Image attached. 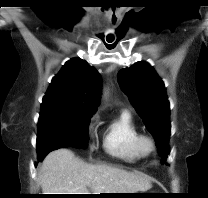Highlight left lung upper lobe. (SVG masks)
Segmentation results:
<instances>
[{
    "label": "left lung upper lobe",
    "instance_id": "1",
    "mask_svg": "<svg viewBox=\"0 0 208 198\" xmlns=\"http://www.w3.org/2000/svg\"><path fill=\"white\" fill-rule=\"evenodd\" d=\"M118 80L124 93L153 135L162 163L169 155L170 105L164 83L147 62L121 69Z\"/></svg>",
    "mask_w": 208,
    "mask_h": 198
}]
</instances>
